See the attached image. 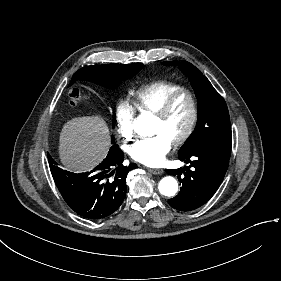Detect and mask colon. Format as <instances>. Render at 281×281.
I'll return each instance as SVG.
<instances>
[{
    "mask_svg": "<svg viewBox=\"0 0 281 281\" xmlns=\"http://www.w3.org/2000/svg\"><path fill=\"white\" fill-rule=\"evenodd\" d=\"M70 98V105L72 107H79L86 102L87 95L75 89L71 92Z\"/></svg>",
    "mask_w": 281,
    "mask_h": 281,
    "instance_id": "5ec220e1",
    "label": "colon"
}]
</instances>
